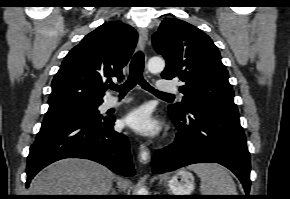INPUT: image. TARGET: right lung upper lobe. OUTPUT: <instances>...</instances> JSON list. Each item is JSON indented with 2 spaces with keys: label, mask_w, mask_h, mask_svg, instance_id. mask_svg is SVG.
<instances>
[{
  "label": "right lung upper lobe",
  "mask_w": 290,
  "mask_h": 199,
  "mask_svg": "<svg viewBox=\"0 0 290 199\" xmlns=\"http://www.w3.org/2000/svg\"><path fill=\"white\" fill-rule=\"evenodd\" d=\"M137 32L120 21L106 22L86 35L64 58L52 81L46 115L100 105L112 77L123 78Z\"/></svg>",
  "instance_id": "cb5924a9"
}]
</instances>
